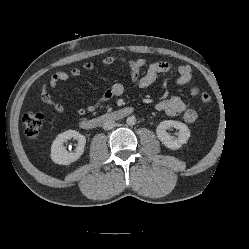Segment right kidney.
I'll return each mask as SVG.
<instances>
[{"label":"right kidney","mask_w":249,"mask_h":249,"mask_svg":"<svg viewBox=\"0 0 249 249\" xmlns=\"http://www.w3.org/2000/svg\"><path fill=\"white\" fill-rule=\"evenodd\" d=\"M78 141L75 152L67 151L63 145L64 142L70 139ZM86 144V138L75 130H67L59 134L52 143L51 146V159L53 162L62 165H69L81 157L84 152Z\"/></svg>","instance_id":"ca27d5eb"}]
</instances>
